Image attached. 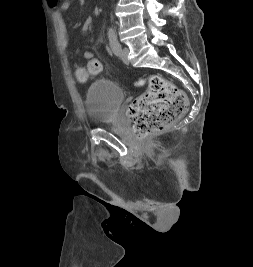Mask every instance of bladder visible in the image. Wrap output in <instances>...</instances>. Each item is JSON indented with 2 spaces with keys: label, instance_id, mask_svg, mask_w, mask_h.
Listing matches in <instances>:
<instances>
[{
  "label": "bladder",
  "instance_id": "31cf9c89",
  "mask_svg": "<svg viewBox=\"0 0 253 267\" xmlns=\"http://www.w3.org/2000/svg\"><path fill=\"white\" fill-rule=\"evenodd\" d=\"M124 91L115 83L99 79L85 93V109L88 119L95 125L113 122L124 101Z\"/></svg>",
  "mask_w": 253,
  "mask_h": 267
}]
</instances>
